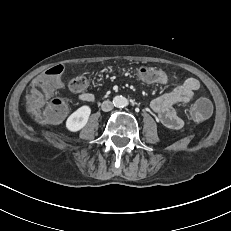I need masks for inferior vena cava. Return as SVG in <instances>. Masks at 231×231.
Here are the masks:
<instances>
[{"label": "inferior vena cava", "mask_w": 231, "mask_h": 231, "mask_svg": "<svg viewBox=\"0 0 231 231\" xmlns=\"http://www.w3.org/2000/svg\"><path fill=\"white\" fill-rule=\"evenodd\" d=\"M101 109H102V111H104V112H108V111H110V110L113 109V103H112L111 101H109V100H106V101H104V102L102 103Z\"/></svg>", "instance_id": "obj_1"}]
</instances>
